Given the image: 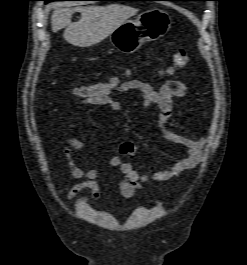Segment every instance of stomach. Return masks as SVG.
Wrapping results in <instances>:
<instances>
[{
    "label": "stomach",
    "instance_id": "0dacf381",
    "mask_svg": "<svg viewBox=\"0 0 247 265\" xmlns=\"http://www.w3.org/2000/svg\"><path fill=\"white\" fill-rule=\"evenodd\" d=\"M171 27L168 13L162 9H148L135 20H127L110 34L112 45L120 52H136L145 42L163 37Z\"/></svg>",
    "mask_w": 247,
    "mask_h": 265
}]
</instances>
